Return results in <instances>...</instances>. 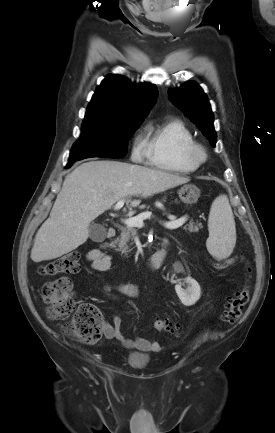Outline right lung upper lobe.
I'll list each match as a JSON object with an SVG mask.
<instances>
[{"instance_id":"right-lung-upper-lobe-1","label":"right lung upper lobe","mask_w":275,"mask_h":433,"mask_svg":"<svg viewBox=\"0 0 275 433\" xmlns=\"http://www.w3.org/2000/svg\"><path fill=\"white\" fill-rule=\"evenodd\" d=\"M157 96L153 84H134L123 76L108 75L88 105L84 122L121 124L142 121Z\"/></svg>"}]
</instances>
